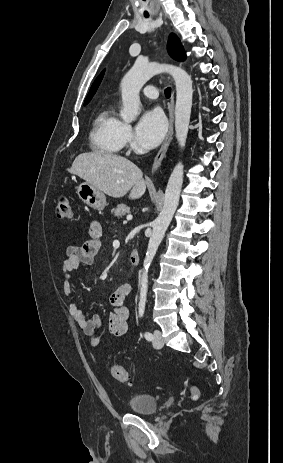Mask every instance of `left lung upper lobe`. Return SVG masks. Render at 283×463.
Returning <instances> with one entry per match:
<instances>
[{
    "instance_id": "5c2ea615",
    "label": "left lung upper lobe",
    "mask_w": 283,
    "mask_h": 463,
    "mask_svg": "<svg viewBox=\"0 0 283 463\" xmlns=\"http://www.w3.org/2000/svg\"><path fill=\"white\" fill-rule=\"evenodd\" d=\"M168 52L171 57L178 61H183L186 58L183 47L175 34H170L168 45Z\"/></svg>"
}]
</instances>
